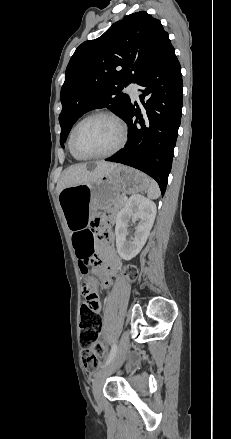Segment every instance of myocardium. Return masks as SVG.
<instances>
[{
	"label": "myocardium",
	"mask_w": 231,
	"mask_h": 439,
	"mask_svg": "<svg viewBox=\"0 0 231 439\" xmlns=\"http://www.w3.org/2000/svg\"><path fill=\"white\" fill-rule=\"evenodd\" d=\"M96 117H105V118H108L111 121H113L119 129V140H118L117 144L107 152L100 153V154H89V155L81 154L76 150V148L74 146L75 133H76L77 129L84 122H86L92 118H96ZM126 140H127V129H126V126L123 123V121L115 113H113L111 111L100 110V111H95V112H92V113L86 115L85 117H83L81 120H79L75 124V126L72 128L70 136H69V148H70L71 152L73 154H75L77 157H79L80 159H102V158L111 157L114 154H116L117 152H119L124 147Z\"/></svg>",
	"instance_id": "1"
}]
</instances>
